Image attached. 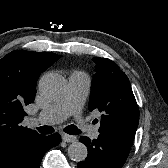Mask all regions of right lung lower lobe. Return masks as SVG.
I'll use <instances>...</instances> for the list:
<instances>
[{
  "label": "right lung lower lobe",
  "mask_w": 168,
  "mask_h": 168,
  "mask_svg": "<svg viewBox=\"0 0 168 168\" xmlns=\"http://www.w3.org/2000/svg\"><path fill=\"white\" fill-rule=\"evenodd\" d=\"M60 139L61 137L55 133L51 136L41 135L26 142L12 155L6 168H39L45 152L57 146Z\"/></svg>",
  "instance_id": "right-lung-lower-lobe-1"
}]
</instances>
